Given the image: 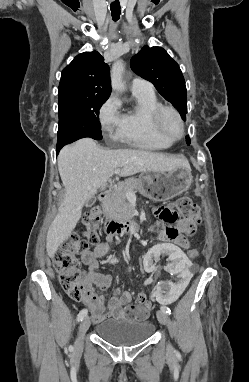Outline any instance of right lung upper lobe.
Returning <instances> with one entry per match:
<instances>
[{
    "label": "right lung upper lobe",
    "instance_id": "right-lung-upper-lobe-1",
    "mask_svg": "<svg viewBox=\"0 0 249 382\" xmlns=\"http://www.w3.org/2000/svg\"><path fill=\"white\" fill-rule=\"evenodd\" d=\"M110 72L96 51L77 55L62 71L58 89L59 108L96 99H108Z\"/></svg>",
    "mask_w": 249,
    "mask_h": 382
}]
</instances>
